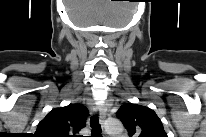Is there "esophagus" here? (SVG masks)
<instances>
[{"label":"esophagus","instance_id":"esophagus-1","mask_svg":"<svg viewBox=\"0 0 206 137\" xmlns=\"http://www.w3.org/2000/svg\"><path fill=\"white\" fill-rule=\"evenodd\" d=\"M105 118H106V110L105 108L101 107L99 109V121L102 127L104 126Z\"/></svg>","mask_w":206,"mask_h":137}]
</instances>
